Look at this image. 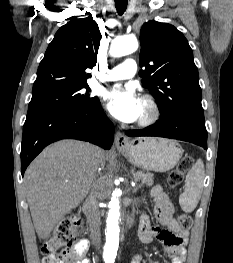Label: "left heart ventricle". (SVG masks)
<instances>
[{
  "mask_svg": "<svg viewBox=\"0 0 233 263\" xmlns=\"http://www.w3.org/2000/svg\"><path fill=\"white\" fill-rule=\"evenodd\" d=\"M145 111H146V108H145L144 103L142 102V112H141V116L145 113Z\"/></svg>",
  "mask_w": 233,
  "mask_h": 263,
  "instance_id": "1",
  "label": "left heart ventricle"
}]
</instances>
